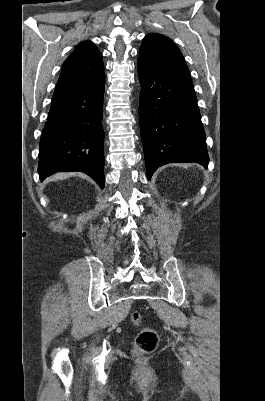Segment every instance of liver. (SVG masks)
Returning a JSON list of instances; mask_svg holds the SVG:
<instances>
[{"label":"liver","mask_w":265,"mask_h":401,"mask_svg":"<svg viewBox=\"0 0 265 401\" xmlns=\"http://www.w3.org/2000/svg\"><path fill=\"white\" fill-rule=\"evenodd\" d=\"M70 174H74V172H58V174L50 176V180H63V178H68Z\"/></svg>","instance_id":"6515ba94"}]
</instances>
